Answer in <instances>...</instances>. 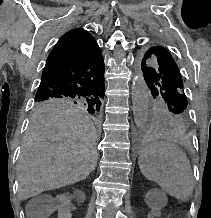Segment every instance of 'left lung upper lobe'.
Masks as SVG:
<instances>
[{"label":"left lung upper lobe","mask_w":211,"mask_h":218,"mask_svg":"<svg viewBox=\"0 0 211 218\" xmlns=\"http://www.w3.org/2000/svg\"><path fill=\"white\" fill-rule=\"evenodd\" d=\"M141 69L153 98L148 109L152 117L181 135L189 130L188 101L180 70L169 51L158 45L141 55Z\"/></svg>","instance_id":"obj_1"}]
</instances>
